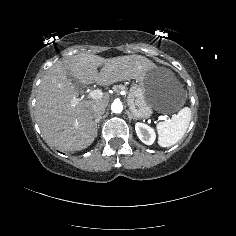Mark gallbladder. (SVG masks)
Listing matches in <instances>:
<instances>
[{
  "label": "gallbladder",
  "instance_id": "gallbladder-1",
  "mask_svg": "<svg viewBox=\"0 0 236 236\" xmlns=\"http://www.w3.org/2000/svg\"><path fill=\"white\" fill-rule=\"evenodd\" d=\"M67 79H69L71 81L72 85H74L76 87H81V83H80L79 79L72 76L71 74L68 73Z\"/></svg>",
  "mask_w": 236,
  "mask_h": 236
}]
</instances>
